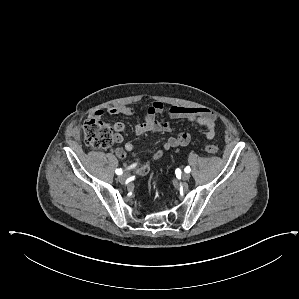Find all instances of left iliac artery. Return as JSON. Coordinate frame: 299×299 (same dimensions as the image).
I'll return each instance as SVG.
<instances>
[{
	"label": "left iliac artery",
	"instance_id": "44dca946",
	"mask_svg": "<svg viewBox=\"0 0 299 299\" xmlns=\"http://www.w3.org/2000/svg\"><path fill=\"white\" fill-rule=\"evenodd\" d=\"M184 171H185L186 173H189V172L191 171V168H190L189 166H187V167L184 169Z\"/></svg>",
	"mask_w": 299,
	"mask_h": 299
}]
</instances>
